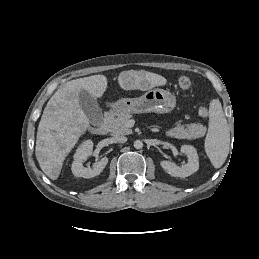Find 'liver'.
<instances>
[{"label": "liver", "instance_id": "1", "mask_svg": "<svg viewBox=\"0 0 259 259\" xmlns=\"http://www.w3.org/2000/svg\"><path fill=\"white\" fill-rule=\"evenodd\" d=\"M118 83L126 91H146L166 85L167 80L148 71L129 70L119 74ZM81 89L100 98L107 89V78L93 75L65 83L48 101L38 125L35 154L40 168L51 180L59 177L65 158L89 127L79 104Z\"/></svg>", "mask_w": 259, "mask_h": 259}]
</instances>
